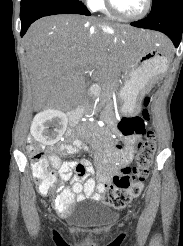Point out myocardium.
Masks as SVG:
<instances>
[{"label": "myocardium", "instance_id": "f54148a6", "mask_svg": "<svg viewBox=\"0 0 183 246\" xmlns=\"http://www.w3.org/2000/svg\"><path fill=\"white\" fill-rule=\"evenodd\" d=\"M152 2L153 0H146L144 8L139 14L134 15V16H127V15L120 13L117 10L113 0H105V4H106L108 11L116 18L124 20V21H137V20L144 18L149 13L151 6H152Z\"/></svg>", "mask_w": 183, "mask_h": 246}]
</instances>
